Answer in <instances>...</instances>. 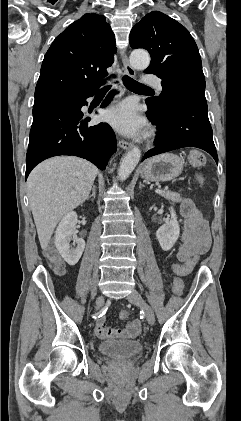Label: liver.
Listing matches in <instances>:
<instances>
[{
	"instance_id": "1",
	"label": "liver",
	"mask_w": 241,
	"mask_h": 421,
	"mask_svg": "<svg viewBox=\"0 0 241 421\" xmlns=\"http://www.w3.org/2000/svg\"><path fill=\"white\" fill-rule=\"evenodd\" d=\"M97 172L96 166L84 159L58 156L30 173L27 193L43 250L60 219L87 199Z\"/></svg>"
}]
</instances>
